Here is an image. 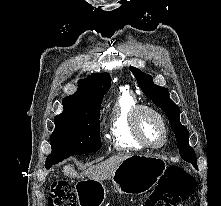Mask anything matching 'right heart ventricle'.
<instances>
[{
    "mask_svg": "<svg viewBox=\"0 0 221 206\" xmlns=\"http://www.w3.org/2000/svg\"><path fill=\"white\" fill-rule=\"evenodd\" d=\"M139 105L136 97L121 88L110 113V140L117 150H140L143 146L136 140L132 130V112Z\"/></svg>",
    "mask_w": 221,
    "mask_h": 206,
    "instance_id": "right-heart-ventricle-1",
    "label": "right heart ventricle"
}]
</instances>
